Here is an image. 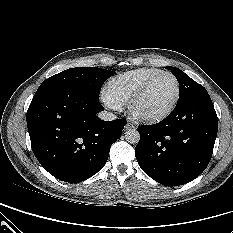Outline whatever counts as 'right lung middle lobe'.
Masks as SVG:
<instances>
[{"label": "right lung middle lobe", "mask_w": 233, "mask_h": 233, "mask_svg": "<svg viewBox=\"0 0 233 233\" xmlns=\"http://www.w3.org/2000/svg\"><path fill=\"white\" fill-rule=\"evenodd\" d=\"M114 73L113 71L96 67L67 69L43 81L34 98H38L49 90L59 87H71L99 98L102 85Z\"/></svg>", "instance_id": "1"}]
</instances>
